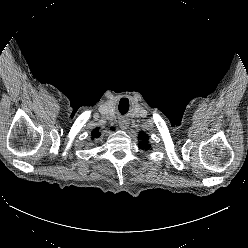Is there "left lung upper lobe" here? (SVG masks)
<instances>
[{
  "mask_svg": "<svg viewBox=\"0 0 248 248\" xmlns=\"http://www.w3.org/2000/svg\"><path fill=\"white\" fill-rule=\"evenodd\" d=\"M139 139L141 140L139 143L141 149L148 150L151 148V145L148 144V136L145 133L140 132Z\"/></svg>",
  "mask_w": 248,
  "mask_h": 248,
  "instance_id": "obj_1",
  "label": "left lung upper lobe"
}]
</instances>
